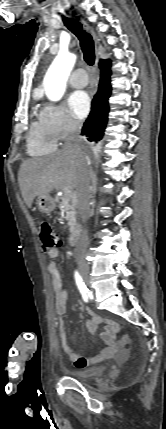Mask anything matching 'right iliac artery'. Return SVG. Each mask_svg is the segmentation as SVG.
Here are the masks:
<instances>
[{"label": "right iliac artery", "instance_id": "right-iliac-artery-1", "mask_svg": "<svg viewBox=\"0 0 166 429\" xmlns=\"http://www.w3.org/2000/svg\"><path fill=\"white\" fill-rule=\"evenodd\" d=\"M74 277H75L76 285H77L80 293L82 294L84 301L87 302L88 301V289L85 286V284H84L80 274L78 273V271H75Z\"/></svg>", "mask_w": 166, "mask_h": 429}]
</instances>
